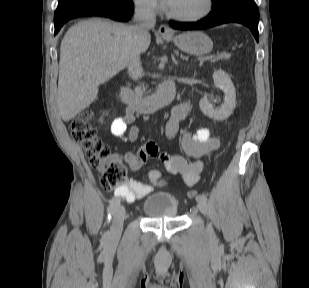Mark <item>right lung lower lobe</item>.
<instances>
[{
  "instance_id": "obj_1",
  "label": "right lung lower lobe",
  "mask_w": 309,
  "mask_h": 288,
  "mask_svg": "<svg viewBox=\"0 0 309 288\" xmlns=\"http://www.w3.org/2000/svg\"><path fill=\"white\" fill-rule=\"evenodd\" d=\"M133 13L132 0H86L54 16L55 34L70 19L81 16H103L128 21Z\"/></svg>"
}]
</instances>
